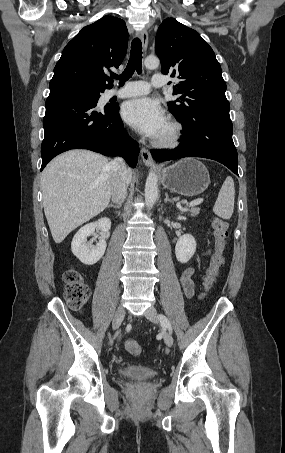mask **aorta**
<instances>
[{
    "label": "aorta",
    "instance_id": "762f6f07",
    "mask_svg": "<svg viewBox=\"0 0 285 453\" xmlns=\"http://www.w3.org/2000/svg\"><path fill=\"white\" fill-rule=\"evenodd\" d=\"M160 61L157 57L148 56L144 60V65L147 69L158 68ZM158 198V178L153 172H150L145 184V202L148 207H152Z\"/></svg>",
    "mask_w": 285,
    "mask_h": 453
}]
</instances>
